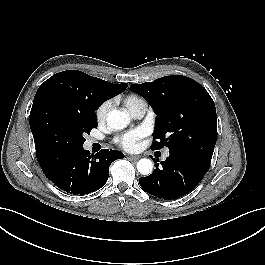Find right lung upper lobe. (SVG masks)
Masks as SVG:
<instances>
[{
    "label": "right lung upper lobe",
    "instance_id": "obj_1",
    "mask_svg": "<svg viewBox=\"0 0 265 265\" xmlns=\"http://www.w3.org/2000/svg\"><path fill=\"white\" fill-rule=\"evenodd\" d=\"M127 86V83L116 85L81 71L68 70L46 80L37 90L33 104L50 97L68 107L90 109L120 94Z\"/></svg>",
    "mask_w": 265,
    "mask_h": 265
}]
</instances>
